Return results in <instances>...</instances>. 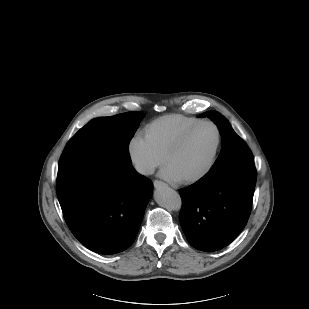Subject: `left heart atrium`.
Here are the masks:
<instances>
[{
    "label": "left heart atrium",
    "instance_id": "obj_1",
    "mask_svg": "<svg viewBox=\"0 0 309 309\" xmlns=\"http://www.w3.org/2000/svg\"><path fill=\"white\" fill-rule=\"evenodd\" d=\"M160 176L171 182H179L181 180L180 176L175 172V170L166 165L160 172Z\"/></svg>",
    "mask_w": 309,
    "mask_h": 309
}]
</instances>
